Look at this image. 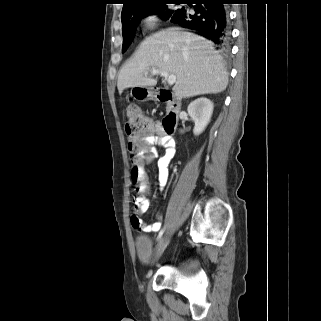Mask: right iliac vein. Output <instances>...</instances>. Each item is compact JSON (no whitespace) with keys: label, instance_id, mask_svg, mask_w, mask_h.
<instances>
[{"label":"right iliac vein","instance_id":"63e3f726","mask_svg":"<svg viewBox=\"0 0 321 321\" xmlns=\"http://www.w3.org/2000/svg\"><path fill=\"white\" fill-rule=\"evenodd\" d=\"M169 241H170V235L169 234L164 235L160 239V241H159V243L157 245V249H156V257L160 256L163 253V251L167 247Z\"/></svg>","mask_w":321,"mask_h":321}]
</instances>
